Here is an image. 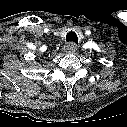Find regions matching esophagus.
I'll use <instances>...</instances> for the list:
<instances>
[{
	"label": "esophagus",
	"mask_w": 127,
	"mask_h": 127,
	"mask_svg": "<svg viewBox=\"0 0 127 127\" xmlns=\"http://www.w3.org/2000/svg\"><path fill=\"white\" fill-rule=\"evenodd\" d=\"M76 50H77V46L73 43H69V44L65 45L63 48V51L65 53H69V54L74 53Z\"/></svg>",
	"instance_id": "obj_1"
}]
</instances>
